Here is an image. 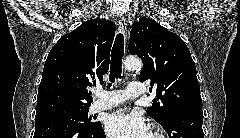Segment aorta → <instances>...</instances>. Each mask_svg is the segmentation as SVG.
<instances>
[{"label": "aorta", "mask_w": 240, "mask_h": 138, "mask_svg": "<svg viewBox=\"0 0 240 138\" xmlns=\"http://www.w3.org/2000/svg\"><path fill=\"white\" fill-rule=\"evenodd\" d=\"M125 68L130 71H139L141 69V61L135 57H127L124 62Z\"/></svg>", "instance_id": "aorta-1"}]
</instances>
